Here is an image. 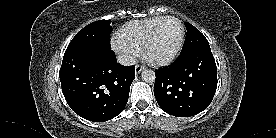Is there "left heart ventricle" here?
Here are the masks:
<instances>
[{
    "instance_id": "left-heart-ventricle-1",
    "label": "left heart ventricle",
    "mask_w": 276,
    "mask_h": 138,
    "mask_svg": "<svg viewBox=\"0 0 276 138\" xmlns=\"http://www.w3.org/2000/svg\"><path fill=\"white\" fill-rule=\"evenodd\" d=\"M180 34V25L174 20L167 21L157 35L150 56L163 58L171 54L179 41Z\"/></svg>"
}]
</instances>
